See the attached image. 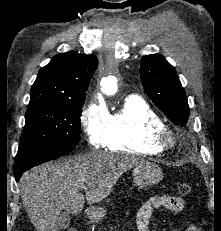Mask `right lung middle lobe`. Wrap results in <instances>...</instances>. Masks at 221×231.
I'll list each match as a JSON object with an SVG mask.
<instances>
[{"mask_svg":"<svg viewBox=\"0 0 221 231\" xmlns=\"http://www.w3.org/2000/svg\"><path fill=\"white\" fill-rule=\"evenodd\" d=\"M84 99L28 105L14 165L38 152L74 149L80 141Z\"/></svg>","mask_w":221,"mask_h":231,"instance_id":"1","label":"right lung middle lobe"}]
</instances>
